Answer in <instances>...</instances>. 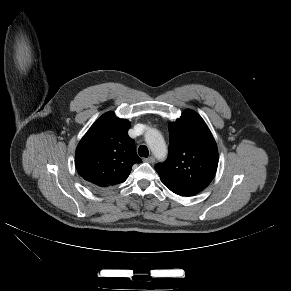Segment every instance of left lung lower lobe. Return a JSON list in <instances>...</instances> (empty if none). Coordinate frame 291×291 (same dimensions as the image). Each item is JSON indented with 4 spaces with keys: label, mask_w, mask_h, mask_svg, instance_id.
<instances>
[{
    "label": "left lung lower lobe",
    "mask_w": 291,
    "mask_h": 291,
    "mask_svg": "<svg viewBox=\"0 0 291 291\" xmlns=\"http://www.w3.org/2000/svg\"><path fill=\"white\" fill-rule=\"evenodd\" d=\"M162 183L168 188L170 189L172 192H174L177 195L180 196H191V195H195L197 193H199V191H196L192 188L186 187L184 185H181L179 183L173 182L171 180L165 179V178H161Z\"/></svg>",
    "instance_id": "1"
}]
</instances>
